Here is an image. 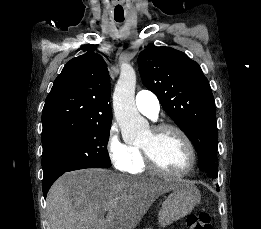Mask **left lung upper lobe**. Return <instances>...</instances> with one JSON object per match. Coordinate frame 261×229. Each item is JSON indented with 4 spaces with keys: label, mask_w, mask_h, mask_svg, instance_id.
<instances>
[{
    "label": "left lung upper lobe",
    "mask_w": 261,
    "mask_h": 229,
    "mask_svg": "<svg viewBox=\"0 0 261 229\" xmlns=\"http://www.w3.org/2000/svg\"><path fill=\"white\" fill-rule=\"evenodd\" d=\"M138 65L144 86L191 140L199 168L206 170L217 157L218 134L213 94L200 66L181 51L154 45L140 53Z\"/></svg>",
    "instance_id": "obj_1"
}]
</instances>
